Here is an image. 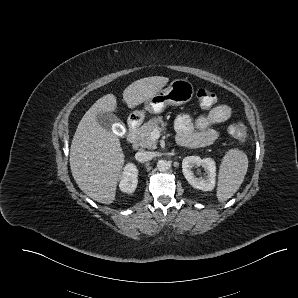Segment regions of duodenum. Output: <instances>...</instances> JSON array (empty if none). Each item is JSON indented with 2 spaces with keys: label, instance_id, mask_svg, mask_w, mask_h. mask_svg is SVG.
Returning <instances> with one entry per match:
<instances>
[{
  "label": "duodenum",
  "instance_id": "410a0bca",
  "mask_svg": "<svg viewBox=\"0 0 298 298\" xmlns=\"http://www.w3.org/2000/svg\"><path fill=\"white\" fill-rule=\"evenodd\" d=\"M139 127V121L137 118H132L128 124L127 141L133 145L134 148L138 147L137 144V132ZM179 145L184 147H197L200 145L199 140L190 135L179 134L177 137Z\"/></svg>",
  "mask_w": 298,
  "mask_h": 298
}]
</instances>
